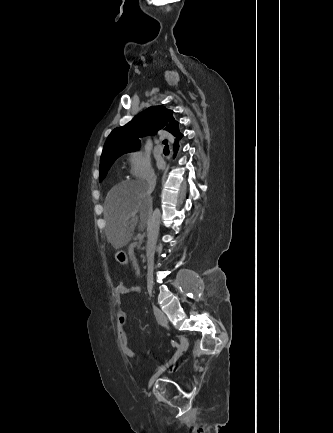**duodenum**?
I'll return each instance as SVG.
<instances>
[{"label": "duodenum", "instance_id": "1", "mask_svg": "<svg viewBox=\"0 0 333 433\" xmlns=\"http://www.w3.org/2000/svg\"><path fill=\"white\" fill-rule=\"evenodd\" d=\"M136 243L134 242V241H132L130 244H129V247H128V255L132 258L131 259V262L133 263V268H138V263H135L136 262V259L134 258L135 257V254L133 253V249H134V245H135Z\"/></svg>", "mask_w": 333, "mask_h": 433}]
</instances>
